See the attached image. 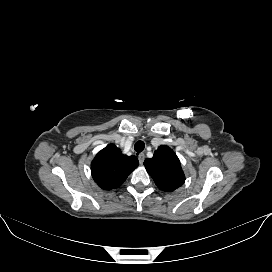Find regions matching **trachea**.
<instances>
[{
	"instance_id": "trachea-1",
	"label": "trachea",
	"mask_w": 272,
	"mask_h": 272,
	"mask_svg": "<svg viewBox=\"0 0 272 272\" xmlns=\"http://www.w3.org/2000/svg\"><path fill=\"white\" fill-rule=\"evenodd\" d=\"M145 148V143L143 141H137L135 146H134V149L136 152H142Z\"/></svg>"
}]
</instances>
